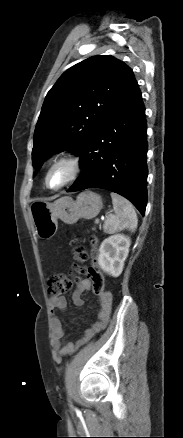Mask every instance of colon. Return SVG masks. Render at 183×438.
<instances>
[{"label":"colon","mask_w":183,"mask_h":438,"mask_svg":"<svg viewBox=\"0 0 183 438\" xmlns=\"http://www.w3.org/2000/svg\"><path fill=\"white\" fill-rule=\"evenodd\" d=\"M92 250L90 254L84 246L78 244L73 251L74 265L73 270L77 274L87 275L91 282V288L96 296H101L105 293L104 276L97 260V241L94 237L91 238ZM91 257L92 263L89 267L83 264ZM72 286V280L64 274L52 275L48 280V294L50 297H59L67 293Z\"/></svg>","instance_id":"colon-1"}]
</instances>
